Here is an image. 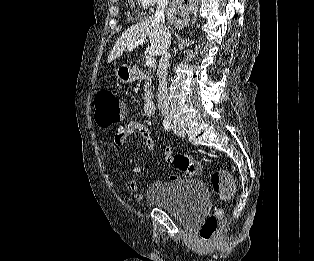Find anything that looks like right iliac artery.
<instances>
[{
	"instance_id": "82829eb1",
	"label": "right iliac artery",
	"mask_w": 314,
	"mask_h": 261,
	"mask_svg": "<svg viewBox=\"0 0 314 261\" xmlns=\"http://www.w3.org/2000/svg\"><path fill=\"white\" fill-rule=\"evenodd\" d=\"M163 125H164L165 130L170 131V123L168 119L163 121Z\"/></svg>"
}]
</instances>
